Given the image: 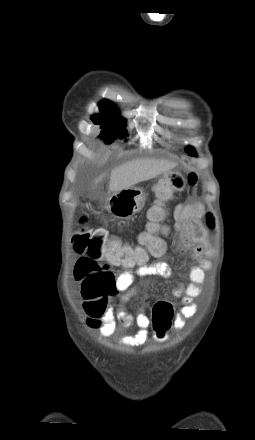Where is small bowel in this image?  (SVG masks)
Here are the masks:
<instances>
[{
  "instance_id": "obj_1",
  "label": "small bowel",
  "mask_w": 255,
  "mask_h": 440,
  "mask_svg": "<svg viewBox=\"0 0 255 440\" xmlns=\"http://www.w3.org/2000/svg\"><path fill=\"white\" fill-rule=\"evenodd\" d=\"M203 215L204 205L200 202L177 204L173 209L172 232L179 236L177 247L180 250L188 249L191 258L198 263L190 267V283L187 285L180 283L173 291L174 296L178 297L181 302V307L173 322L175 330L183 329L186 320L195 315L197 305L194 303V299L201 294V286L206 280V272L211 268L207 257L212 255V250L205 243L206 231L201 222ZM162 244L161 254L165 251V244L163 242ZM133 266L136 268L124 271L115 281L116 289L124 292L120 297L119 307L116 310L108 308L102 316L88 317L86 320L87 325L96 329L103 337L112 336L117 331L118 325L126 328L135 324L138 327L135 334L120 338L121 345L126 347H139L149 340L150 318L147 313L139 312L132 315L124 307V304L136 293V288L133 286L135 280L144 276L168 277L171 273L165 262L151 261L148 255L140 263Z\"/></svg>"
}]
</instances>
